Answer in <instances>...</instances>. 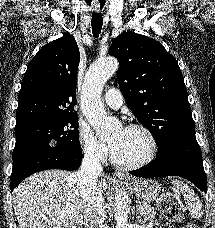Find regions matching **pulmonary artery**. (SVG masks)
I'll return each mask as SVG.
<instances>
[{
    "label": "pulmonary artery",
    "instance_id": "obj_1",
    "mask_svg": "<svg viewBox=\"0 0 215 228\" xmlns=\"http://www.w3.org/2000/svg\"><path fill=\"white\" fill-rule=\"evenodd\" d=\"M104 101L109 107L117 109L123 104V97L117 89H110L105 93Z\"/></svg>",
    "mask_w": 215,
    "mask_h": 228
}]
</instances>
